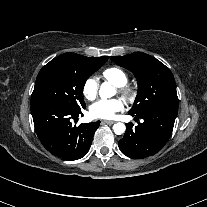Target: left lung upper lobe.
Instances as JSON below:
<instances>
[{
    "mask_svg": "<svg viewBox=\"0 0 207 207\" xmlns=\"http://www.w3.org/2000/svg\"><path fill=\"white\" fill-rule=\"evenodd\" d=\"M111 60L130 70L137 79L138 94L129 114L139 115L159 106L178 108L173 74L159 60L142 52L112 56Z\"/></svg>",
    "mask_w": 207,
    "mask_h": 207,
    "instance_id": "left-lung-upper-lobe-1",
    "label": "left lung upper lobe"
}]
</instances>
